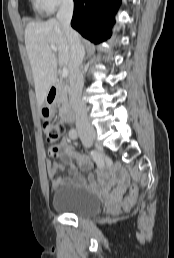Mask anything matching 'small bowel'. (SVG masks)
Segmentation results:
<instances>
[{"label": "small bowel", "instance_id": "small-bowel-1", "mask_svg": "<svg viewBox=\"0 0 174 258\" xmlns=\"http://www.w3.org/2000/svg\"><path fill=\"white\" fill-rule=\"evenodd\" d=\"M55 151L57 152L56 156L53 155V152ZM61 151L65 153V157L62 159L61 162L47 164V173L53 189H57L58 186L63 182V180L57 175L58 170L63 169L67 163L71 162V160H74L75 163L84 170H90L94 166V158L92 159L90 156L82 155L75 151V149L69 144L67 139H63L59 147L51 148L50 155L52 157H57L60 155ZM71 179L73 182L79 185H86V180L77 173L75 166L73 165H71ZM97 179L101 184L106 186H111L113 183L112 173L110 171H98ZM128 183L129 179L126 173L123 171L120 172L117 177L116 183L112 188V191L110 193H107L106 196L112 201L118 199L124 192ZM91 184L94 188H96L94 179H91Z\"/></svg>", "mask_w": 174, "mask_h": 258}]
</instances>
